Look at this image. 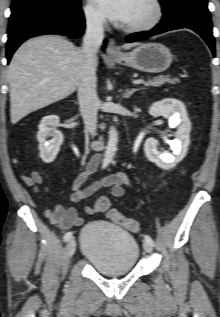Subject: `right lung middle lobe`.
<instances>
[{"mask_svg": "<svg viewBox=\"0 0 220 317\" xmlns=\"http://www.w3.org/2000/svg\"><path fill=\"white\" fill-rule=\"evenodd\" d=\"M36 8L77 12L81 9V2L80 0H13L11 4L12 14Z\"/></svg>", "mask_w": 220, "mask_h": 317, "instance_id": "right-lung-middle-lobe-1", "label": "right lung middle lobe"}]
</instances>
